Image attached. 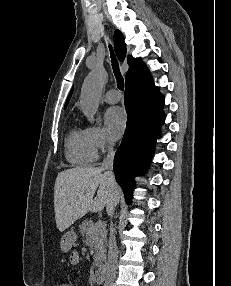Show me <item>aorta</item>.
<instances>
[{
	"label": "aorta",
	"mask_w": 231,
	"mask_h": 286,
	"mask_svg": "<svg viewBox=\"0 0 231 286\" xmlns=\"http://www.w3.org/2000/svg\"><path fill=\"white\" fill-rule=\"evenodd\" d=\"M106 80V71L103 68H96L89 73L82 85L81 110L90 122L94 121V116L99 107L101 91Z\"/></svg>",
	"instance_id": "1"
}]
</instances>
